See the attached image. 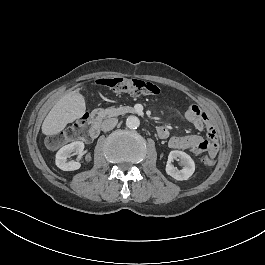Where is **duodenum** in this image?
<instances>
[{
	"instance_id": "obj_1",
	"label": "duodenum",
	"mask_w": 265,
	"mask_h": 265,
	"mask_svg": "<svg viewBox=\"0 0 265 265\" xmlns=\"http://www.w3.org/2000/svg\"><path fill=\"white\" fill-rule=\"evenodd\" d=\"M91 117L93 119V123L91 128H93V130L99 131L100 132V118L104 115V110L102 108H96L94 110L91 111ZM159 137L163 136V132H159L157 133Z\"/></svg>"
}]
</instances>
